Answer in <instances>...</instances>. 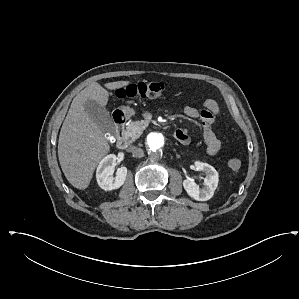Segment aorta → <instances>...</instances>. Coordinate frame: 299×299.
Instances as JSON below:
<instances>
[{
  "instance_id": "aorta-1",
  "label": "aorta",
  "mask_w": 299,
  "mask_h": 299,
  "mask_svg": "<svg viewBox=\"0 0 299 299\" xmlns=\"http://www.w3.org/2000/svg\"><path fill=\"white\" fill-rule=\"evenodd\" d=\"M165 142V137L162 133L151 132L146 138V147L151 153L158 154L164 149Z\"/></svg>"
}]
</instances>
